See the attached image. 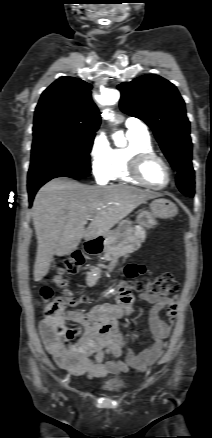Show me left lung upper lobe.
Returning <instances> with one entry per match:
<instances>
[{
  "mask_svg": "<svg viewBox=\"0 0 212 438\" xmlns=\"http://www.w3.org/2000/svg\"><path fill=\"white\" fill-rule=\"evenodd\" d=\"M121 92L122 112L146 122L175 171L192 159L190 122L185 103L177 88L166 79L148 74L123 82Z\"/></svg>",
  "mask_w": 212,
  "mask_h": 438,
  "instance_id": "1",
  "label": "left lung upper lobe"
}]
</instances>
